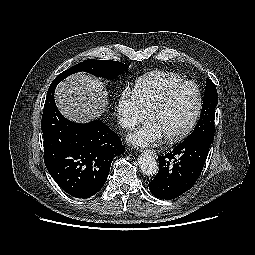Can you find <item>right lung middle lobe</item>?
<instances>
[{"mask_svg":"<svg viewBox=\"0 0 255 255\" xmlns=\"http://www.w3.org/2000/svg\"><path fill=\"white\" fill-rule=\"evenodd\" d=\"M128 69V66L119 62L111 60H94L88 59L83 62L78 63L77 65L65 70L59 74L49 88H54L59 82L64 80L71 74L76 72L84 71L90 74H94L98 77L113 79L116 78L119 74L123 73Z\"/></svg>","mask_w":255,"mask_h":255,"instance_id":"obj_1","label":"right lung middle lobe"}]
</instances>
